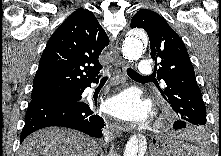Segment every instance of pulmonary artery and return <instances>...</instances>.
I'll return each mask as SVG.
<instances>
[{
    "label": "pulmonary artery",
    "instance_id": "e3ab8cb5",
    "mask_svg": "<svg viewBox=\"0 0 221 156\" xmlns=\"http://www.w3.org/2000/svg\"><path fill=\"white\" fill-rule=\"evenodd\" d=\"M139 74L142 76L150 75L153 72V66L150 61L142 60L138 67Z\"/></svg>",
    "mask_w": 221,
    "mask_h": 156
}]
</instances>
